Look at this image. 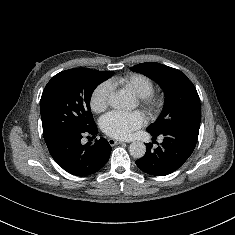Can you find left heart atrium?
<instances>
[{
  "instance_id": "left-heart-atrium-1",
  "label": "left heart atrium",
  "mask_w": 235,
  "mask_h": 235,
  "mask_svg": "<svg viewBox=\"0 0 235 235\" xmlns=\"http://www.w3.org/2000/svg\"><path fill=\"white\" fill-rule=\"evenodd\" d=\"M145 121V115L140 111H113L101 119L100 125L106 135L117 139H128L134 131L144 125Z\"/></svg>"
}]
</instances>
